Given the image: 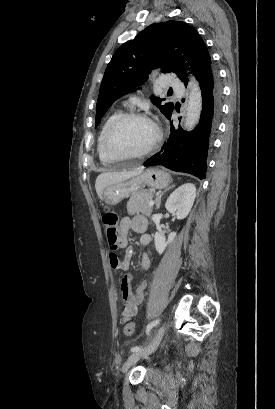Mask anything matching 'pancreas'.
<instances>
[{"mask_svg":"<svg viewBox=\"0 0 275 409\" xmlns=\"http://www.w3.org/2000/svg\"><path fill=\"white\" fill-rule=\"evenodd\" d=\"M152 190H139L130 196L127 202L128 215H135V213H143L150 217L153 207H150L149 202L152 200Z\"/></svg>","mask_w":275,"mask_h":409,"instance_id":"obj_1","label":"pancreas"}]
</instances>
